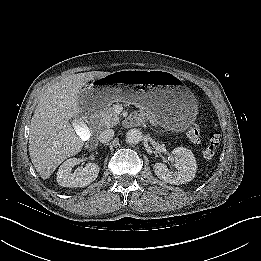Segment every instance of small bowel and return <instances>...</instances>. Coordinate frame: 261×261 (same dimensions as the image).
Returning <instances> with one entry per match:
<instances>
[{
  "label": "small bowel",
  "mask_w": 261,
  "mask_h": 261,
  "mask_svg": "<svg viewBox=\"0 0 261 261\" xmlns=\"http://www.w3.org/2000/svg\"><path fill=\"white\" fill-rule=\"evenodd\" d=\"M137 120H138V115L135 114L131 121H132V122H137Z\"/></svg>",
  "instance_id": "obj_1"
}]
</instances>
